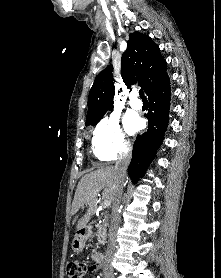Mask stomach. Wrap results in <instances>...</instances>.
Masks as SVG:
<instances>
[{"label": "stomach", "instance_id": "1", "mask_svg": "<svg viewBox=\"0 0 221 278\" xmlns=\"http://www.w3.org/2000/svg\"><path fill=\"white\" fill-rule=\"evenodd\" d=\"M87 237L85 235H82L80 233H77L72 241V249L76 253H80L86 243Z\"/></svg>", "mask_w": 221, "mask_h": 278}]
</instances>
